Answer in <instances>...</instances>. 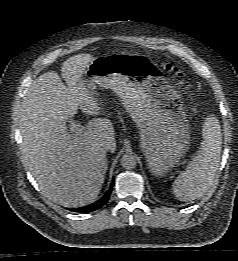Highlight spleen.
<instances>
[{
  "instance_id": "spleen-1",
  "label": "spleen",
  "mask_w": 238,
  "mask_h": 261,
  "mask_svg": "<svg viewBox=\"0 0 238 261\" xmlns=\"http://www.w3.org/2000/svg\"><path fill=\"white\" fill-rule=\"evenodd\" d=\"M202 138L200 150L172 185L173 194L183 202L203 197L213 186L222 145L221 126L217 118L209 116L205 119Z\"/></svg>"
}]
</instances>
